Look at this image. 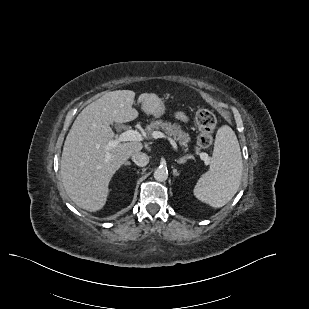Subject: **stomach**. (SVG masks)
<instances>
[{
    "mask_svg": "<svg viewBox=\"0 0 309 309\" xmlns=\"http://www.w3.org/2000/svg\"><path fill=\"white\" fill-rule=\"evenodd\" d=\"M142 110L145 113L151 114L155 117H161L165 114L166 109L162 99L154 94H151L142 102Z\"/></svg>",
    "mask_w": 309,
    "mask_h": 309,
    "instance_id": "1",
    "label": "stomach"
}]
</instances>
